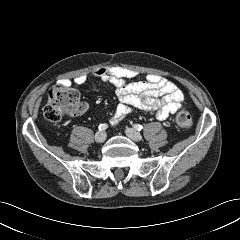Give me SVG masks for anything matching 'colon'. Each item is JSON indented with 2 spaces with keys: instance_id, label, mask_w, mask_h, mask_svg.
Masks as SVG:
<instances>
[{
  "instance_id": "1",
  "label": "colon",
  "mask_w": 240,
  "mask_h": 240,
  "mask_svg": "<svg viewBox=\"0 0 240 240\" xmlns=\"http://www.w3.org/2000/svg\"><path fill=\"white\" fill-rule=\"evenodd\" d=\"M81 108L79 92L75 88L59 83L50 88L43 115L46 121L57 123L63 116L74 113ZM175 121L182 128H189L192 125V117L186 110H179L176 113Z\"/></svg>"
}]
</instances>
